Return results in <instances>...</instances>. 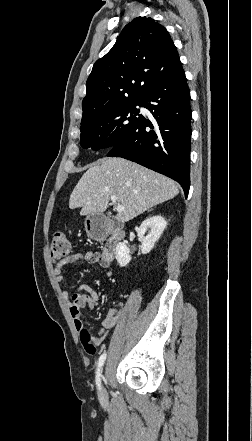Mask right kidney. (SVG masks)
Masks as SVG:
<instances>
[{
	"label": "right kidney",
	"instance_id": "ca27d5eb",
	"mask_svg": "<svg viewBox=\"0 0 252 441\" xmlns=\"http://www.w3.org/2000/svg\"><path fill=\"white\" fill-rule=\"evenodd\" d=\"M166 226L167 222L160 215L152 216L142 222L137 234L142 243L141 251L143 254L149 253L154 248ZM148 229L150 231L146 234ZM116 260L121 267H125L131 261L130 251L126 243L120 242L117 245Z\"/></svg>",
	"mask_w": 252,
	"mask_h": 441
}]
</instances>
